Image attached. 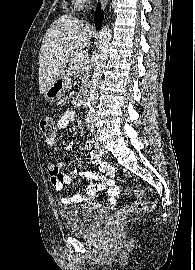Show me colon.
<instances>
[{
	"label": "colon",
	"instance_id": "5ec220e1",
	"mask_svg": "<svg viewBox=\"0 0 195 270\" xmlns=\"http://www.w3.org/2000/svg\"><path fill=\"white\" fill-rule=\"evenodd\" d=\"M39 127L44 136L50 137L55 131V122L50 117L42 118L39 122ZM130 193H134L136 197L141 198L143 193L138 188L128 189ZM154 208L153 204H147L144 202H135L125 205L118 209L113 215H111L104 224V229L109 232L112 231L115 226L124 218L142 212L151 211Z\"/></svg>",
	"mask_w": 195,
	"mask_h": 270
}]
</instances>
